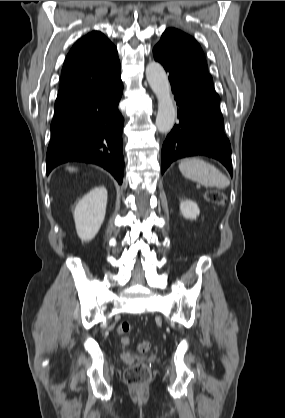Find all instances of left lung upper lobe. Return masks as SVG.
Listing matches in <instances>:
<instances>
[{"instance_id":"obj_1","label":"left lung upper lobe","mask_w":285,"mask_h":418,"mask_svg":"<svg viewBox=\"0 0 285 418\" xmlns=\"http://www.w3.org/2000/svg\"><path fill=\"white\" fill-rule=\"evenodd\" d=\"M161 40H169L174 42L176 45H178L186 53L195 58L200 64H202L207 69V63L204 53L200 45L193 37L178 29L168 28L163 33Z\"/></svg>"}]
</instances>
